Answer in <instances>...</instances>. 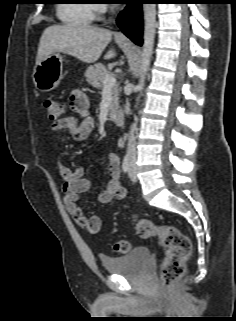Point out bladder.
<instances>
[{"label":"bladder","mask_w":236,"mask_h":321,"mask_svg":"<svg viewBox=\"0 0 236 321\" xmlns=\"http://www.w3.org/2000/svg\"><path fill=\"white\" fill-rule=\"evenodd\" d=\"M149 259V248L139 246L121 256H102L100 261L108 273L125 278H138L142 276Z\"/></svg>","instance_id":"obj_1"}]
</instances>
